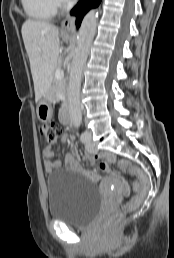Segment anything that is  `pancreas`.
I'll use <instances>...</instances> for the list:
<instances>
[{"mask_svg":"<svg viewBox=\"0 0 174 258\" xmlns=\"http://www.w3.org/2000/svg\"><path fill=\"white\" fill-rule=\"evenodd\" d=\"M60 69V67H56L55 68V72L56 70ZM51 90V100L54 101L55 97H56V93H60L61 95L65 96L66 95V81L61 79H57L55 74L53 76L52 79V86L50 88Z\"/></svg>","mask_w":174,"mask_h":258,"instance_id":"cf45deb5","label":"pancreas"}]
</instances>
